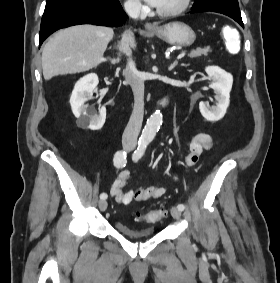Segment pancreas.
Here are the masks:
<instances>
[{
    "label": "pancreas",
    "mask_w": 280,
    "mask_h": 283,
    "mask_svg": "<svg viewBox=\"0 0 280 283\" xmlns=\"http://www.w3.org/2000/svg\"><path fill=\"white\" fill-rule=\"evenodd\" d=\"M209 52H211V48L210 47L197 48L196 50H192L189 53V57L197 58V57H201L202 55L207 56Z\"/></svg>",
    "instance_id": "cf45deb5"
}]
</instances>
